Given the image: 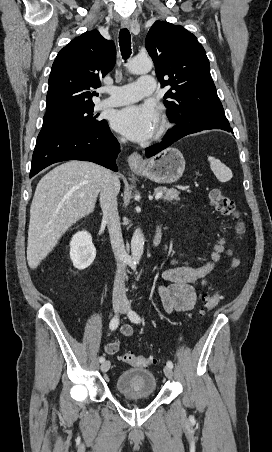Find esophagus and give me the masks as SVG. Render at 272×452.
<instances>
[{
    "instance_id": "1",
    "label": "esophagus",
    "mask_w": 272,
    "mask_h": 452,
    "mask_svg": "<svg viewBox=\"0 0 272 452\" xmlns=\"http://www.w3.org/2000/svg\"><path fill=\"white\" fill-rule=\"evenodd\" d=\"M131 25L130 20L124 19L121 22V26L123 28H129ZM128 164L130 168H138L143 164V158L138 152H133L128 157Z\"/></svg>"
}]
</instances>
